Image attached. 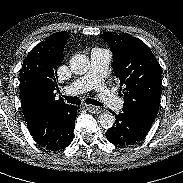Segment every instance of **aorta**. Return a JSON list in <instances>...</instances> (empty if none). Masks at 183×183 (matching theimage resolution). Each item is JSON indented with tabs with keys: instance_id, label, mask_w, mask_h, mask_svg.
Instances as JSON below:
<instances>
[{
	"instance_id": "aorta-1",
	"label": "aorta",
	"mask_w": 183,
	"mask_h": 183,
	"mask_svg": "<svg viewBox=\"0 0 183 183\" xmlns=\"http://www.w3.org/2000/svg\"><path fill=\"white\" fill-rule=\"evenodd\" d=\"M90 67L89 58L83 54H76L70 60V69L76 75L85 74ZM99 125L104 129H110L115 123V118L112 114L103 113L99 117Z\"/></svg>"
}]
</instances>
